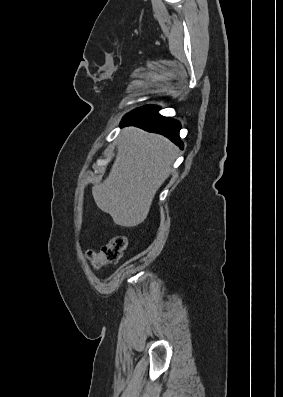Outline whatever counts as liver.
Masks as SVG:
<instances>
[{"mask_svg": "<svg viewBox=\"0 0 283 397\" xmlns=\"http://www.w3.org/2000/svg\"><path fill=\"white\" fill-rule=\"evenodd\" d=\"M177 147L165 137L125 128L108 177L92 188L96 205L115 224L134 227L147 217L157 190L169 177Z\"/></svg>", "mask_w": 283, "mask_h": 397, "instance_id": "6515ba94", "label": "liver"}]
</instances>
